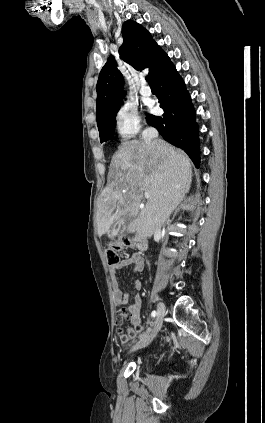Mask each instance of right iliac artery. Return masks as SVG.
<instances>
[{
  "label": "right iliac artery",
  "instance_id": "1",
  "mask_svg": "<svg viewBox=\"0 0 265 423\" xmlns=\"http://www.w3.org/2000/svg\"><path fill=\"white\" fill-rule=\"evenodd\" d=\"M156 314H157L156 311H152V313H151L152 317H155Z\"/></svg>",
  "mask_w": 265,
  "mask_h": 423
}]
</instances>
